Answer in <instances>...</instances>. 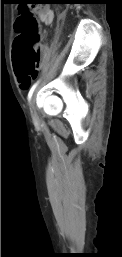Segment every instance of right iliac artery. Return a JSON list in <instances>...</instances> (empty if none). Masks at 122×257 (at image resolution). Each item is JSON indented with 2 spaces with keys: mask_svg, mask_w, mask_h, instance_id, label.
Wrapping results in <instances>:
<instances>
[{
  "mask_svg": "<svg viewBox=\"0 0 122 257\" xmlns=\"http://www.w3.org/2000/svg\"><path fill=\"white\" fill-rule=\"evenodd\" d=\"M37 84H38V82L35 83V84L31 87V89H30V91H29V93H28V99H30V98L32 97V94H33V92H34V90H35Z\"/></svg>",
  "mask_w": 122,
  "mask_h": 257,
  "instance_id": "1",
  "label": "right iliac artery"
}]
</instances>
